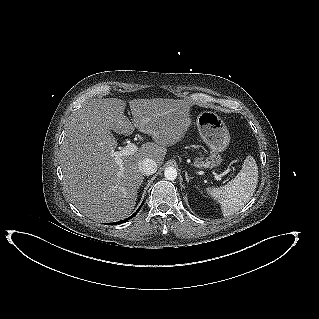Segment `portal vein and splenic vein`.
Segmentation results:
<instances>
[{"instance_id":"18ae733b","label":"portal vein and splenic vein","mask_w":319,"mask_h":319,"mask_svg":"<svg viewBox=\"0 0 319 319\" xmlns=\"http://www.w3.org/2000/svg\"><path fill=\"white\" fill-rule=\"evenodd\" d=\"M138 151V146L135 143H128L127 146L120 148L115 152L116 163L120 167L119 175L123 172L122 157L133 155ZM216 180H221V175L214 174Z\"/></svg>"}]
</instances>
